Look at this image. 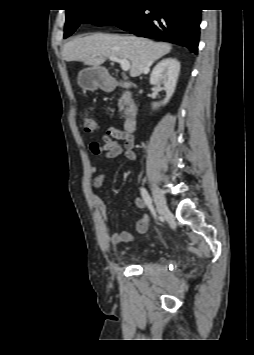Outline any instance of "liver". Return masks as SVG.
<instances>
[{
  "instance_id": "6515ba94",
  "label": "liver",
  "mask_w": 254,
  "mask_h": 355,
  "mask_svg": "<svg viewBox=\"0 0 254 355\" xmlns=\"http://www.w3.org/2000/svg\"><path fill=\"white\" fill-rule=\"evenodd\" d=\"M170 44L152 40L113 34L95 33L77 37L63 47L65 61H80L99 68L107 57L116 56L130 62V76L148 73L150 66L171 51Z\"/></svg>"
}]
</instances>
